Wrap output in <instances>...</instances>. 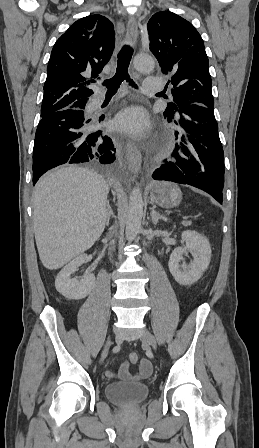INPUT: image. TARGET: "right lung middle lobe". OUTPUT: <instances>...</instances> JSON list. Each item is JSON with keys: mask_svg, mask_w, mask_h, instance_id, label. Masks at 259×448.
Here are the masks:
<instances>
[{"mask_svg": "<svg viewBox=\"0 0 259 448\" xmlns=\"http://www.w3.org/2000/svg\"><path fill=\"white\" fill-rule=\"evenodd\" d=\"M77 108H78V106H73V107H70V108H67V109H69V111H71V110H76Z\"/></svg>", "mask_w": 259, "mask_h": 448, "instance_id": "obj_1", "label": "right lung middle lobe"}]
</instances>
